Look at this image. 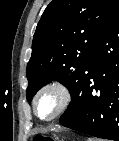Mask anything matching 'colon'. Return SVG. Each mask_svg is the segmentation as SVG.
<instances>
[{
  "label": "colon",
  "instance_id": "obj_1",
  "mask_svg": "<svg viewBox=\"0 0 119 141\" xmlns=\"http://www.w3.org/2000/svg\"><path fill=\"white\" fill-rule=\"evenodd\" d=\"M35 140L36 141H55L53 138L45 137V136H36Z\"/></svg>",
  "mask_w": 119,
  "mask_h": 141
}]
</instances>
